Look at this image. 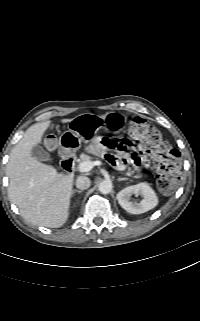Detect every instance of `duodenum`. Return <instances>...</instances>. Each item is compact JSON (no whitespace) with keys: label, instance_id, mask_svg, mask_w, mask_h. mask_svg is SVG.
<instances>
[{"label":"duodenum","instance_id":"duodenum-1","mask_svg":"<svg viewBox=\"0 0 200 321\" xmlns=\"http://www.w3.org/2000/svg\"><path fill=\"white\" fill-rule=\"evenodd\" d=\"M61 166L64 171L71 173L74 168V158L70 154L64 153L61 159Z\"/></svg>","mask_w":200,"mask_h":321}]
</instances>
